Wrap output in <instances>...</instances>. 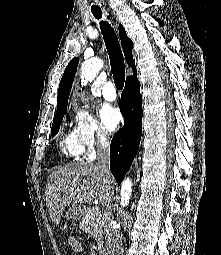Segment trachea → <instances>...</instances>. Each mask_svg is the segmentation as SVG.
<instances>
[{"label": "trachea", "instance_id": "obj_1", "mask_svg": "<svg viewBox=\"0 0 221 255\" xmlns=\"http://www.w3.org/2000/svg\"><path fill=\"white\" fill-rule=\"evenodd\" d=\"M91 12L97 19H100L102 16V11L99 8H92ZM100 29L109 54L115 86L117 89H123L125 81V63L117 35L111 25L106 21L100 22Z\"/></svg>", "mask_w": 221, "mask_h": 255}]
</instances>
